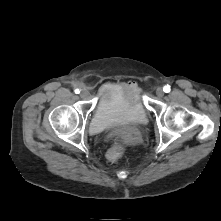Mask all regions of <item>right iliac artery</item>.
I'll list each match as a JSON object with an SVG mask.
<instances>
[{"mask_svg": "<svg viewBox=\"0 0 221 221\" xmlns=\"http://www.w3.org/2000/svg\"><path fill=\"white\" fill-rule=\"evenodd\" d=\"M75 93H76V94H79V93H80V90H79V89H75Z\"/></svg>", "mask_w": 221, "mask_h": 221, "instance_id": "1", "label": "right iliac artery"}]
</instances>
